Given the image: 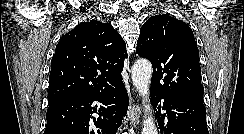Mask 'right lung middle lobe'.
I'll return each mask as SVG.
<instances>
[{
  "mask_svg": "<svg viewBox=\"0 0 244 134\" xmlns=\"http://www.w3.org/2000/svg\"><path fill=\"white\" fill-rule=\"evenodd\" d=\"M61 100H64V99L55 100V101H48V105L53 104V103L58 102V101H61Z\"/></svg>",
  "mask_w": 244,
  "mask_h": 134,
  "instance_id": "obj_1",
  "label": "right lung middle lobe"
}]
</instances>
